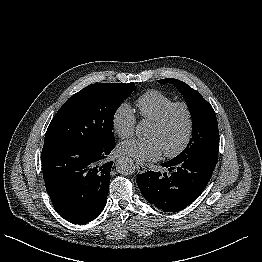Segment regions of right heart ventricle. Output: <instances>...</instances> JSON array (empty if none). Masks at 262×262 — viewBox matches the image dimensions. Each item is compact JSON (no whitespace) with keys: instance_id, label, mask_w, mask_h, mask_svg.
<instances>
[{"instance_id":"right-heart-ventricle-1","label":"right heart ventricle","mask_w":262,"mask_h":262,"mask_svg":"<svg viewBox=\"0 0 262 262\" xmlns=\"http://www.w3.org/2000/svg\"><path fill=\"white\" fill-rule=\"evenodd\" d=\"M175 101L159 90H149L135 101L141 118L154 121Z\"/></svg>"}]
</instances>
